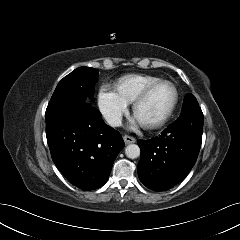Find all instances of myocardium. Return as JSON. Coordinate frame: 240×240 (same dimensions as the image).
Returning <instances> with one entry per match:
<instances>
[{
    "instance_id": "obj_1",
    "label": "myocardium",
    "mask_w": 240,
    "mask_h": 240,
    "mask_svg": "<svg viewBox=\"0 0 240 240\" xmlns=\"http://www.w3.org/2000/svg\"><path fill=\"white\" fill-rule=\"evenodd\" d=\"M161 86H170L173 90H174V99L173 102L170 106V108L165 112V114H163L160 118H158L155 121L152 122H145L139 119L138 115H137V110L139 108V106L148 99V97L159 87ZM179 102V90L177 88V86L170 82V81H166V80H162L159 81L157 83H154L152 85H150L149 87H147L143 92H141L137 98L133 101V105H132V109H133V113L134 115L138 118V120L140 121V123L145 126L146 128H150V129H154V128H158L160 126H162L163 124H165L168 119L172 116V114L174 113L177 104Z\"/></svg>"
}]
</instances>
